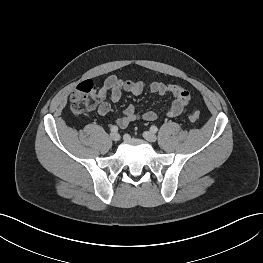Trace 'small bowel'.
<instances>
[{"instance_id": "obj_1", "label": "small bowel", "mask_w": 263, "mask_h": 263, "mask_svg": "<svg viewBox=\"0 0 263 263\" xmlns=\"http://www.w3.org/2000/svg\"><path fill=\"white\" fill-rule=\"evenodd\" d=\"M149 90L151 93L160 96H173L174 100L165 112L167 117H176L183 114L190 103L189 92L176 83L165 84L153 81L149 85ZM143 91L144 83L142 81L124 80L117 75H111L104 80L99 89V96L96 100V112L100 116H105L111 110L110 102L116 103L120 101L123 92L140 95ZM139 118L149 122L155 121L158 118V113L155 111H146L139 114L134 106L129 105L124 109L123 115L116 119V124L124 128Z\"/></svg>"}]
</instances>
